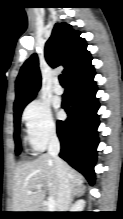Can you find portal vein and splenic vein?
I'll return each mask as SVG.
<instances>
[{"label": "portal vein and splenic vein", "instance_id": "18ae733b", "mask_svg": "<svg viewBox=\"0 0 123 219\" xmlns=\"http://www.w3.org/2000/svg\"><path fill=\"white\" fill-rule=\"evenodd\" d=\"M41 188H42V185L40 184L36 186V189H41ZM27 193L32 194V191H28ZM55 207H56V201L53 197L50 196L47 200L48 211L53 212L55 210Z\"/></svg>", "mask_w": 123, "mask_h": 219}]
</instances>
